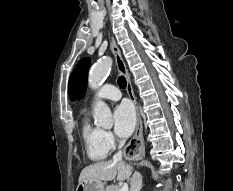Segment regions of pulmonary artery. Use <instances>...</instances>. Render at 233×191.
<instances>
[{"instance_id":"pulmonary-artery-1","label":"pulmonary artery","mask_w":233,"mask_h":191,"mask_svg":"<svg viewBox=\"0 0 233 191\" xmlns=\"http://www.w3.org/2000/svg\"><path fill=\"white\" fill-rule=\"evenodd\" d=\"M121 97V93L118 88L111 84H105L101 89L96 93L93 98V102L97 100H110L117 101Z\"/></svg>"}]
</instances>
